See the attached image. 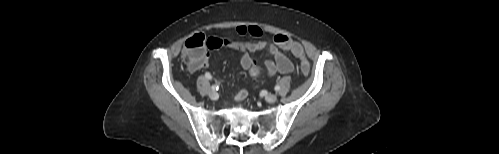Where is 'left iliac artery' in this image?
<instances>
[{
	"label": "left iliac artery",
	"mask_w": 499,
	"mask_h": 154,
	"mask_svg": "<svg viewBox=\"0 0 499 154\" xmlns=\"http://www.w3.org/2000/svg\"><path fill=\"white\" fill-rule=\"evenodd\" d=\"M274 89H275V91H279L280 90V86L276 85Z\"/></svg>",
	"instance_id": "left-iliac-artery-1"
}]
</instances>
